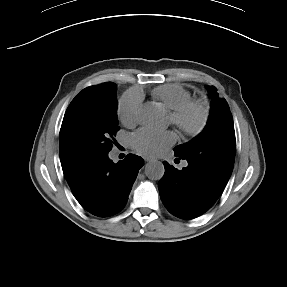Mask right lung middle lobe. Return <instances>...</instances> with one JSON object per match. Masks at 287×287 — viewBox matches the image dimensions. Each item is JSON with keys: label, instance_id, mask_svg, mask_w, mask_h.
Listing matches in <instances>:
<instances>
[{"label": "right lung middle lobe", "instance_id": "right-lung-middle-lobe-1", "mask_svg": "<svg viewBox=\"0 0 287 287\" xmlns=\"http://www.w3.org/2000/svg\"><path fill=\"white\" fill-rule=\"evenodd\" d=\"M116 85L106 82L83 89L70 103L59 134L60 159L65 177L106 155L119 130Z\"/></svg>", "mask_w": 287, "mask_h": 287}]
</instances>
